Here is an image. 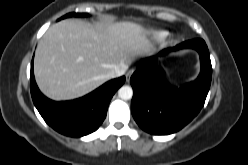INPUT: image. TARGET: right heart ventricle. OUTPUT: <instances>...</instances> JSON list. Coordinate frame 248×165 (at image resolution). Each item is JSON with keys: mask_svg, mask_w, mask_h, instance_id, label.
Segmentation results:
<instances>
[{"mask_svg": "<svg viewBox=\"0 0 248 165\" xmlns=\"http://www.w3.org/2000/svg\"><path fill=\"white\" fill-rule=\"evenodd\" d=\"M165 33L164 32H154L153 33V37L156 39V40H161L165 37Z\"/></svg>", "mask_w": 248, "mask_h": 165, "instance_id": "e07e8e85", "label": "right heart ventricle"}]
</instances>
